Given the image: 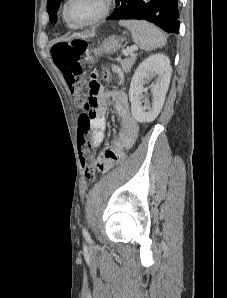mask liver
<instances>
[{
    "instance_id": "1",
    "label": "liver",
    "mask_w": 227,
    "mask_h": 298,
    "mask_svg": "<svg viewBox=\"0 0 227 298\" xmlns=\"http://www.w3.org/2000/svg\"><path fill=\"white\" fill-rule=\"evenodd\" d=\"M92 36H94V32L93 33H89V34H73L72 36H70V37H66V38H64L63 40H72V39H74V38H88V37H92Z\"/></svg>"
}]
</instances>
